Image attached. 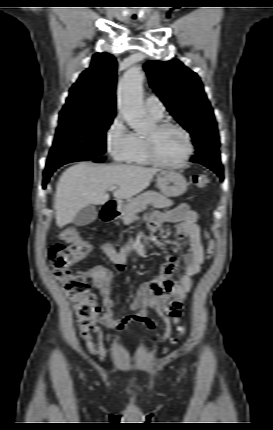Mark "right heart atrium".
I'll list each match as a JSON object with an SVG mask.
<instances>
[{
    "instance_id": "right-heart-atrium-1",
    "label": "right heart atrium",
    "mask_w": 273,
    "mask_h": 430,
    "mask_svg": "<svg viewBox=\"0 0 273 430\" xmlns=\"http://www.w3.org/2000/svg\"><path fill=\"white\" fill-rule=\"evenodd\" d=\"M105 143L108 153L117 162H129L137 146L135 133L128 129L120 115L108 126Z\"/></svg>"
}]
</instances>
